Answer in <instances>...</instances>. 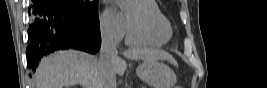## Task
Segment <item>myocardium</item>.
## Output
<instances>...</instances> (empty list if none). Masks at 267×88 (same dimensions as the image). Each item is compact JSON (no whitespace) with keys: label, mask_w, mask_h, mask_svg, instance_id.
<instances>
[{"label":"myocardium","mask_w":267,"mask_h":88,"mask_svg":"<svg viewBox=\"0 0 267 88\" xmlns=\"http://www.w3.org/2000/svg\"><path fill=\"white\" fill-rule=\"evenodd\" d=\"M131 11L126 12V21L129 30L144 37L159 38L171 36V26L167 30L163 27L160 19L145 10L141 5L132 3L129 8Z\"/></svg>","instance_id":"obj_1"}]
</instances>
